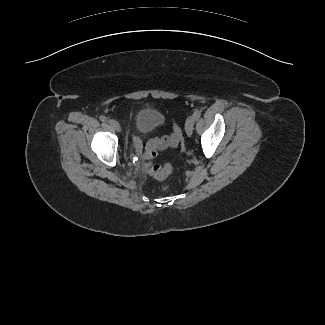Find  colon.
<instances>
[{"mask_svg": "<svg viewBox=\"0 0 325 325\" xmlns=\"http://www.w3.org/2000/svg\"><path fill=\"white\" fill-rule=\"evenodd\" d=\"M182 139V132L178 124L174 123L172 127V133L169 136L162 138H156L150 140L144 152V159L148 172L156 179L163 180L174 172V168L171 164L157 165L153 164L152 160L157 155L159 150L176 146ZM165 186L164 189H167Z\"/></svg>", "mask_w": 325, "mask_h": 325, "instance_id": "obj_1", "label": "colon"}]
</instances>
